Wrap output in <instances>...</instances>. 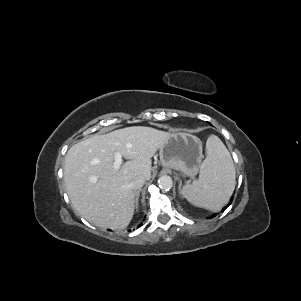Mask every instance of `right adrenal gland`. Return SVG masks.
<instances>
[{"label": "right adrenal gland", "mask_w": 301, "mask_h": 301, "mask_svg": "<svg viewBox=\"0 0 301 301\" xmlns=\"http://www.w3.org/2000/svg\"><path fill=\"white\" fill-rule=\"evenodd\" d=\"M140 192H141V189H139L138 191L135 192V207H136V210H138V200H139Z\"/></svg>", "instance_id": "right-adrenal-gland-1"}]
</instances>
